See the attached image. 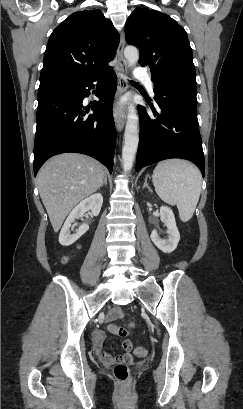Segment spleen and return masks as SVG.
<instances>
[{"instance_id":"spleen-1","label":"spleen","mask_w":243,"mask_h":409,"mask_svg":"<svg viewBox=\"0 0 243 409\" xmlns=\"http://www.w3.org/2000/svg\"><path fill=\"white\" fill-rule=\"evenodd\" d=\"M152 181L158 196L164 202L177 206L183 222L192 218L202 184L201 173L196 166L181 159L162 161L154 169Z\"/></svg>"}]
</instances>
